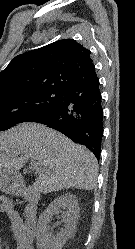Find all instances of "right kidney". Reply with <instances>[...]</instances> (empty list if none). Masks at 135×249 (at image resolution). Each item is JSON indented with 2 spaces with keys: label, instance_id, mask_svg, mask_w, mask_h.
I'll return each mask as SVG.
<instances>
[{
  "label": "right kidney",
  "instance_id": "right-kidney-1",
  "mask_svg": "<svg viewBox=\"0 0 135 249\" xmlns=\"http://www.w3.org/2000/svg\"><path fill=\"white\" fill-rule=\"evenodd\" d=\"M61 208L66 210L62 215L65 225L60 232L52 236L49 232V223L53 215L60 213ZM78 218L79 206L76 196L63 194L56 198L39 216L36 234L38 249H62L68 239L75 234Z\"/></svg>",
  "mask_w": 135,
  "mask_h": 249
}]
</instances>
